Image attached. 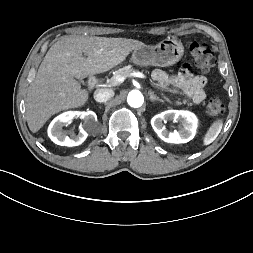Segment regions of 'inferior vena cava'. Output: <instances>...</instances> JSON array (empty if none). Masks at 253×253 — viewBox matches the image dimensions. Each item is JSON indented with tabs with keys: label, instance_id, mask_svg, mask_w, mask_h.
<instances>
[{
	"label": "inferior vena cava",
	"instance_id": "1",
	"mask_svg": "<svg viewBox=\"0 0 253 253\" xmlns=\"http://www.w3.org/2000/svg\"><path fill=\"white\" fill-rule=\"evenodd\" d=\"M114 96V91L111 89H98L94 93V99L97 102L103 103Z\"/></svg>",
	"mask_w": 253,
	"mask_h": 253
}]
</instances>
